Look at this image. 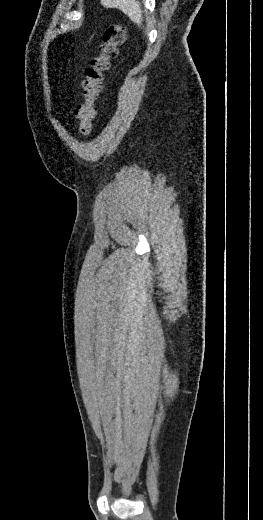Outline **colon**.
Returning a JSON list of instances; mask_svg holds the SVG:
<instances>
[{
	"label": "colon",
	"instance_id": "1",
	"mask_svg": "<svg viewBox=\"0 0 263 520\" xmlns=\"http://www.w3.org/2000/svg\"><path fill=\"white\" fill-rule=\"evenodd\" d=\"M126 31L122 24L112 23L105 29L98 54L85 70L82 84L84 101L75 110L79 132L87 136L93 128L96 115V100L102 89L104 73L109 69L110 62L118 54V48L124 43Z\"/></svg>",
	"mask_w": 263,
	"mask_h": 520
}]
</instances>
